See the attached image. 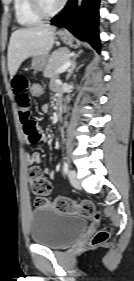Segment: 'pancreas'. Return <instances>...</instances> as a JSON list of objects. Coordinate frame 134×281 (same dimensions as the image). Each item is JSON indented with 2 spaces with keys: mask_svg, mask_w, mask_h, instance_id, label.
<instances>
[{
  "mask_svg": "<svg viewBox=\"0 0 134 281\" xmlns=\"http://www.w3.org/2000/svg\"><path fill=\"white\" fill-rule=\"evenodd\" d=\"M69 55L70 51L68 48L65 47L59 48L54 51L48 58L43 75L47 78L56 77L58 75V73H56L57 69L68 61Z\"/></svg>",
  "mask_w": 134,
  "mask_h": 281,
  "instance_id": "pancreas-1",
  "label": "pancreas"
}]
</instances>
